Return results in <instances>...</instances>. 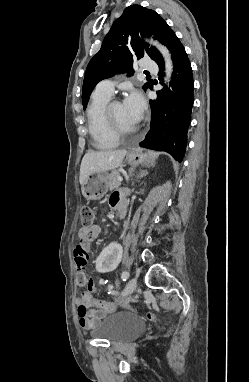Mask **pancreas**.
Here are the masks:
<instances>
[{"instance_id":"obj_1","label":"pancreas","mask_w":249,"mask_h":382,"mask_svg":"<svg viewBox=\"0 0 249 382\" xmlns=\"http://www.w3.org/2000/svg\"><path fill=\"white\" fill-rule=\"evenodd\" d=\"M120 176V172L118 170H113L109 175L106 182V186L110 189H116L120 186V181L117 178Z\"/></svg>"}]
</instances>
